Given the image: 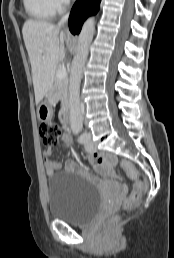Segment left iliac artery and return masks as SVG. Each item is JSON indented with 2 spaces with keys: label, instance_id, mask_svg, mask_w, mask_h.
<instances>
[{
  "label": "left iliac artery",
  "instance_id": "obj_1",
  "mask_svg": "<svg viewBox=\"0 0 174 258\" xmlns=\"http://www.w3.org/2000/svg\"><path fill=\"white\" fill-rule=\"evenodd\" d=\"M82 131V127H78L76 130H75V133L76 134H79L80 132ZM87 141V133H81L79 136H78V142L81 143V144H85Z\"/></svg>",
  "mask_w": 174,
  "mask_h": 258
}]
</instances>
